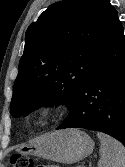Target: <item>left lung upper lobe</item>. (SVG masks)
<instances>
[{
	"label": "left lung upper lobe",
	"instance_id": "obj_1",
	"mask_svg": "<svg viewBox=\"0 0 125 167\" xmlns=\"http://www.w3.org/2000/svg\"><path fill=\"white\" fill-rule=\"evenodd\" d=\"M117 13L109 0L49 6L26 31L11 114L17 118L44 103L69 109Z\"/></svg>",
	"mask_w": 125,
	"mask_h": 167
}]
</instances>
